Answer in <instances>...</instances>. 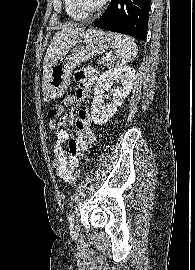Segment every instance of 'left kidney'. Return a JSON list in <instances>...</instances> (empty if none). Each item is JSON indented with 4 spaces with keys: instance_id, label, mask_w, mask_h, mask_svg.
Listing matches in <instances>:
<instances>
[{
    "instance_id": "obj_1",
    "label": "left kidney",
    "mask_w": 195,
    "mask_h": 270,
    "mask_svg": "<svg viewBox=\"0 0 195 270\" xmlns=\"http://www.w3.org/2000/svg\"><path fill=\"white\" fill-rule=\"evenodd\" d=\"M135 79V70L130 66L111 68L100 75L94 87V99L91 108V116L96 125H103L114 116L117 107L123 104L132 90ZM114 81H120L121 86L112 90L111 86ZM105 92H111L113 98L112 102L107 105L104 103Z\"/></svg>"
}]
</instances>
